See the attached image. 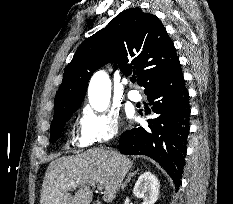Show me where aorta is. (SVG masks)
<instances>
[{
  "label": "aorta",
  "instance_id": "762f6f07",
  "mask_svg": "<svg viewBox=\"0 0 233 204\" xmlns=\"http://www.w3.org/2000/svg\"><path fill=\"white\" fill-rule=\"evenodd\" d=\"M111 97V81L104 71L96 72L89 83L88 100L91 107L98 112L108 108Z\"/></svg>",
  "mask_w": 233,
  "mask_h": 204
}]
</instances>
